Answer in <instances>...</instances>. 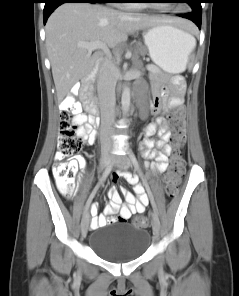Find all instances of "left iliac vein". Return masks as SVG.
I'll return each mask as SVG.
<instances>
[{"label": "left iliac vein", "instance_id": "obj_1", "mask_svg": "<svg viewBox=\"0 0 239 296\" xmlns=\"http://www.w3.org/2000/svg\"><path fill=\"white\" fill-rule=\"evenodd\" d=\"M112 162L115 163L120 169H127L131 166V162L127 157H123L121 161L113 158ZM152 228L155 239H157L160 232V220L155 212H152Z\"/></svg>", "mask_w": 239, "mask_h": 296}]
</instances>
